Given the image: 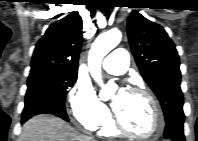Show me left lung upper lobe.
Masks as SVG:
<instances>
[{"label": "left lung upper lobe", "instance_id": "5c2ea615", "mask_svg": "<svg viewBox=\"0 0 198 141\" xmlns=\"http://www.w3.org/2000/svg\"><path fill=\"white\" fill-rule=\"evenodd\" d=\"M127 33L136 63L158 97L166 123L176 115L184 117L179 56L166 31L133 11Z\"/></svg>", "mask_w": 198, "mask_h": 141}]
</instances>
